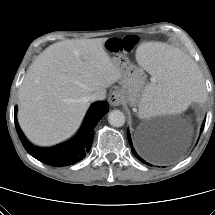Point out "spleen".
<instances>
[{
  "instance_id": "3e777b00",
  "label": "spleen",
  "mask_w": 215,
  "mask_h": 215,
  "mask_svg": "<svg viewBox=\"0 0 215 215\" xmlns=\"http://www.w3.org/2000/svg\"><path fill=\"white\" fill-rule=\"evenodd\" d=\"M137 57L139 65L152 75L140 100L144 115L180 112L191 101L204 99L205 89L195 65L183 53L159 43H146L138 47Z\"/></svg>"
}]
</instances>
